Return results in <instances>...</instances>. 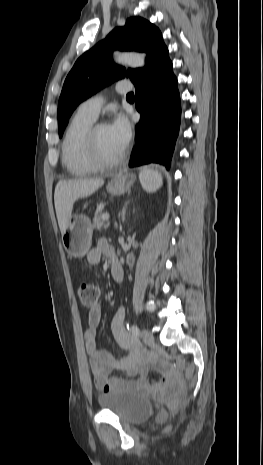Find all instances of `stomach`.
Here are the masks:
<instances>
[{
    "mask_svg": "<svg viewBox=\"0 0 263 465\" xmlns=\"http://www.w3.org/2000/svg\"><path fill=\"white\" fill-rule=\"evenodd\" d=\"M133 183L132 174L121 172L112 177L107 185V191L111 195H122L130 189ZM92 233V225L88 217L70 216L62 234V243L68 255L74 258L84 257L91 247Z\"/></svg>",
    "mask_w": 263,
    "mask_h": 465,
    "instance_id": "obj_1",
    "label": "stomach"
}]
</instances>
